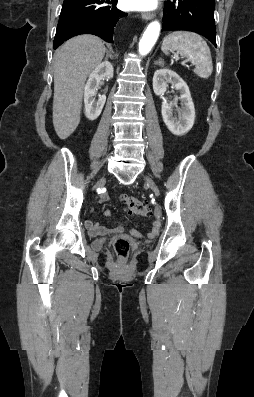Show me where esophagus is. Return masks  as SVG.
I'll return each mask as SVG.
<instances>
[{
    "label": "esophagus",
    "instance_id": "esophagus-1",
    "mask_svg": "<svg viewBox=\"0 0 254 397\" xmlns=\"http://www.w3.org/2000/svg\"><path fill=\"white\" fill-rule=\"evenodd\" d=\"M154 18V14L153 13H143L142 14V19L145 21L151 20Z\"/></svg>",
    "mask_w": 254,
    "mask_h": 397
}]
</instances>
